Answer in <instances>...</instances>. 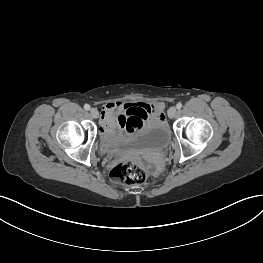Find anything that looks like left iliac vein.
<instances>
[{
	"label": "left iliac vein",
	"instance_id": "1",
	"mask_svg": "<svg viewBox=\"0 0 263 263\" xmlns=\"http://www.w3.org/2000/svg\"><path fill=\"white\" fill-rule=\"evenodd\" d=\"M177 114V109L176 107H170L168 110V116L169 118H174Z\"/></svg>",
	"mask_w": 263,
	"mask_h": 263
}]
</instances>
